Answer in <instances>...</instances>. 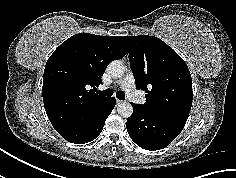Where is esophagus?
<instances>
[{"instance_id": "34e87169", "label": "esophagus", "mask_w": 236, "mask_h": 178, "mask_svg": "<svg viewBox=\"0 0 236 178\" xmlns=\"http://www.w3.org/2000/svg\"><path fill=\"white\" fill-rule=\"evenodd\" d=\"M116 102H117V104H122V103H124V101H123V100H120V99H117Z\"/></svg>"}]
</instances>
